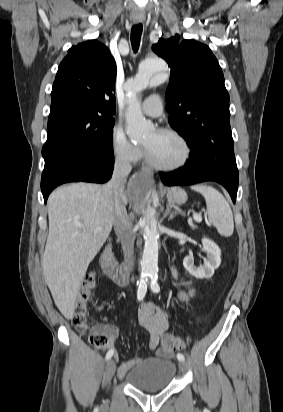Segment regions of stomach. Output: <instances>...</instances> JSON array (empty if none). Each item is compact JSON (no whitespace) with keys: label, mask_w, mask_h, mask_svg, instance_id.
<instances>
[{"label":"stomach","mask_w":283,"mask_h":412,"mask_svg":"<svg viewBox=\"0 0 283 412\" xmlns=\"http://www.w3.org/2000/svg\"><path fill=\"white\" fill-rule=\"evenodd\" d=\"M167 199L174 204H183L187 200V193L179 187H172L167 190Z\"/></svg>","instance_id":"0dacf381"}]
</instances>
